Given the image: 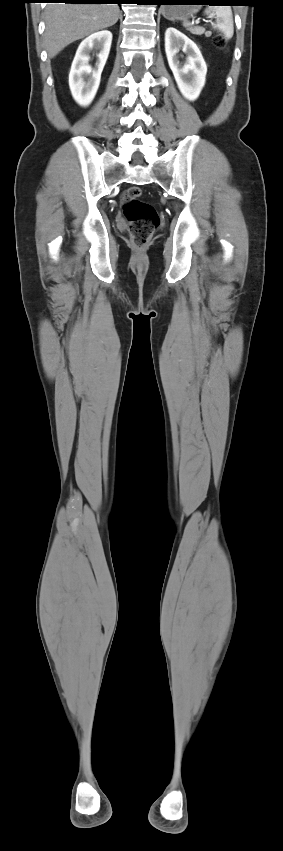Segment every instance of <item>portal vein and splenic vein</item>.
Instances as JSON below:
<instances>
[{
  "label": "portal vein and splenic vein",
  "instance_id": "portal-vein-and-splenic-vein-1",
  "mask_svg": "<svg viewBox=\"0 0 283 851\" xmlns=\"http://www.w3.org/2000/svg\"><path fill=\"white\" fill-rule=\"evenodd\" d=\"M204 21H205V22H210V20H204ZM195 23H196V24H198V23H199V20H196V21H195Z\"/></svg>",
  "mask_w": 283,
  "mask_h": 851
}]
</instances>
